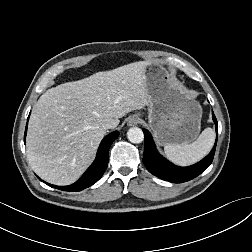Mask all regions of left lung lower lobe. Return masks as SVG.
<instances>
[{
  "label": "left lung lower lobe",
  "instance_id": "left-lung-lower-lobe-1",
  "mask_svg": "<svg viewBox=\"0 0 252 252\" xmlns=\"http://www.w3.org/2000/svg\"><path fill=\"white\" fill-rule=\"evenodd\" d=\"M212 116L213 121L215 123L216 133L218 134V128H217L218 123L215 115L213 114ZM143 132L145 135V149H144L143 162L151 174L161 179L173 183L186 182L200 175L212 163L215 154L217 138L213 149L204 159H202L200 162L192 166L180 167L172 164L171 162L163 158L157 152L151 134L146 129H143Z\"/></svg>",
  "mask_w": 252,
  "mask_h": 252
}]
</instances>
